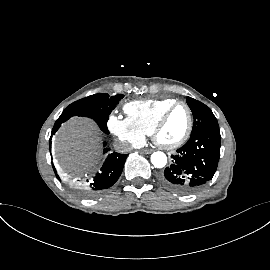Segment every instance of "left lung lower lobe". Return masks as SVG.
Listing matches in <instances>:
<instances>
[{"mask_svg": "<svg viewBox=\"0 0 270 270\" xmlns=\"http://www.w3.org/2000/svg\"><path fill=\"white\" fill-rule=\"evenodd\" d=\"M219 128H204L172 155V164L161 177L169 189L190 194L207 184L216 172L220 157Z\"/></svg>", "mask_w": 270, "mask_h": 270, "instance_id": "1", "label": "left lung lower lobe"}]
</instances>
